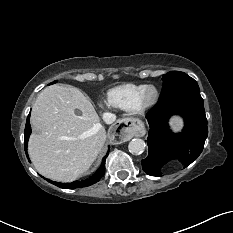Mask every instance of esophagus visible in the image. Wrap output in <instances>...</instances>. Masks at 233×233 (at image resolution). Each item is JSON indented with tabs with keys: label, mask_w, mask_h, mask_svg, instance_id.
I'll list each match as a JSON object with an SVG mask.
<instances>
[{
	"label": "esophagus",
	"mask_w": 233,
	"mask_h": 233,
	"mask_svg": "<svg viewBox=\"0 0 233 233\" xmlns=\"http://www.w3.org/2000/svg\"><path fill=\"white\" fill-rule=\"evenodd\" d=\"M143 127L142 121L136 118L118 120L114 126L109 128L108 139L112 144H120L131 136H142Z\"/></svg>",
	"instance_id": "1"
}]
</instances>
